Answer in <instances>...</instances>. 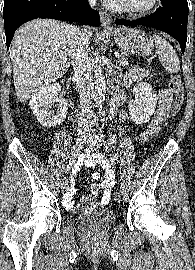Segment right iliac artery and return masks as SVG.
<instances>
[{"instance_id": "82829eb1", "label": "right iliac artery", "mask_w": 195, "mask_h": 270, "mask_svg": "<svg viewBox=\"0 0 195 270\" xmlns=\"http://www.w3.org/2000/svg\"><path fill=\"white\" fill-rule=\"evenodd\" d=\"M83 143H81L80 145H78V147L76 148L73 156L77 155V153L83 148ZM74 163V159L71 158L70 161H69V164L67 165V169L66 171L69 172L71 169L74 171V169L72 168V165Z\"/></svg>"}]
</instances>
